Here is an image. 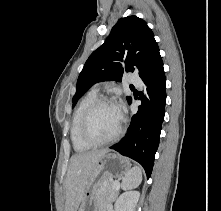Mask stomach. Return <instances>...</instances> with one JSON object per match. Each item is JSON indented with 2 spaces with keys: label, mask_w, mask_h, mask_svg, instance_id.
I'll use <instances>...</instances> for the list:
<instances>
[{
  "label": "stomach",
  "mask_w": 221,
  "mask_h": 211,
  "mask_svg": "<svg viewBox=\"0 0 221 211\" xmlns=\"http://www.w3.org/2000/svg\"><path fill=\"white\" fill-rule=\"evenodd\" d=\"M131 168L128 159L114 153L101 156L87 179L78 211H97L95 192L104 181L126 174Z\"/></svg>",
  "instance_id": "1"
}]
</instances>
